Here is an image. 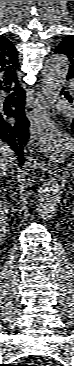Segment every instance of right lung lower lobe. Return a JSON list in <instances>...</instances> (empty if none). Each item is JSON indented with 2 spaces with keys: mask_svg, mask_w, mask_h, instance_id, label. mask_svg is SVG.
<instances>
[{
  "mask_svg": "<svg viewBox=\"0 0 74 366\" xmlns=\"http://www.w3.org/2000/svg\"><path fill=\"white\" fill-rule=\"evenodd\" d=\"M3 88H0V90ZM10 91V87L4 88ZM17 96L8 104L0 102V141L8 143L17 156L19 165H23V144L29 138V121L25 116V93L16 83Z\"/></svg>",
  "mask_w": 74,
  "mask_h": 366,
  "instance_id": "right-lung-lower-lobe-1",
  "label": "right lung lower lobe"
}]
</instances>
